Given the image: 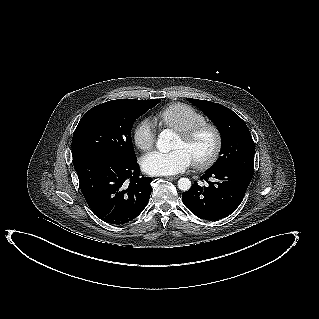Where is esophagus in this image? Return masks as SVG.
Listing matches in <instances>:
<instances>
[{
	"label": "esophagus",
	"instance_id": "esophagus-1",
	"mask_svg": "<svg viewBox=\"0 0 319 319\" xmlns=\"http://www.w3.org/2000/svg\"><path fill=\"white\" fill-rule=\"evenodd\" d=\"M166 178L168 180H176V179H178V176H167Z\"/></svg>",
	"mask_w": 319,
	"mask_h": 319
}]
</instances>
